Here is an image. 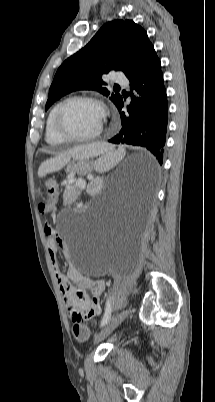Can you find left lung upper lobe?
I'll return each mask as SVG.
<instances>
[{
  "mask_svg": "<svg viewBox=\"0 0 215 402\" xmlns=\"http://www.w3.org/2000/svg\"><path fill=\"white\" fill-rule=\"evenodd\" d=\"M157 57L146 31L132 20L105 23L90 42L67 58L57 70L49 89L47 110L56 100L76 90H95L117 105L119 94H111L102 76L111 70L126 77Z\"/></svg>",
  "mask_w": 215,
  "mask_h": 402,
  "instance_id": "1",
  "label": "left lung upper lobe"
}]
</instances>
